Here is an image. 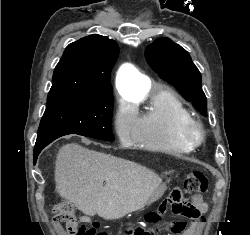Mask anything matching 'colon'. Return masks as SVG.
Segmentation results:
<instances>
[{"label": "colon", "mask_w": 250, "mask_h": 235, "mask_svg": "<svg viewBox=\"0 0 250 235\" xmlns=\"http://www.w3.org/2000/svg\"><path fill=\"white\" fill-rule=\"evenodd\" d=\"M183 185L185 192L194 198L196 195L206 192L208 188V178L202 171L194 170L186 175ZM180 199V193L177 191L174 192L171 203L173 210H182L183 207ZM53 213L54 219L65 225L68 235H108L105 232L97 233L98 227L96 226H87L86 224L77 221L74 209L69 203H58L54 207ZM136 235H153V233L149 230L137 229Z\"/></svg>", "instance_id": "1"}]
</instances>
